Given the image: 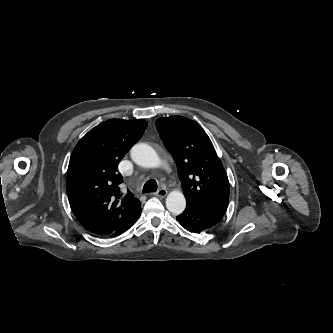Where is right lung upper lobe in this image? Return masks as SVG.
<instances>
[{"label":"right lung upper lobe","instance_id":"cb5924a9","mask_svg":"<svg viewBox=\"0 0 333 333\" xmlns=\"http://www.w3.org/2000/svg\"><path fill=\"white\" fill-rule=\"evenodd\" d=\"M147 128L139 120H107L86 133L74 148L66 180L71 209L88 231L111 236L141 212L128 191L122 198L118 164Z\"/></svg>","mask_w":333,"mask_h":333}]
</instances>
